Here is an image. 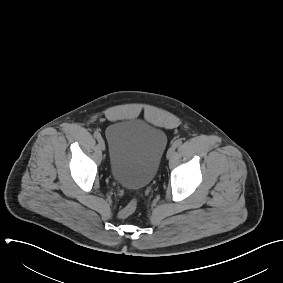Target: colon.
<instances>
[{"label":"colon","mask_w":283,"mask_h":283,"mask_svg":"<svg viewBox=\"0 0 283 283\" xmlns=\"http://www.w3.org/2000/svg\"><path fill=\"white\" fill-rule=\"evenodd\" d=\"M137 199H132L123 209L120 210L119 212V217L120 218H127L131 214L135 212L137 209Z\"/></svg>","instance_id":"1"}]
</instances>
